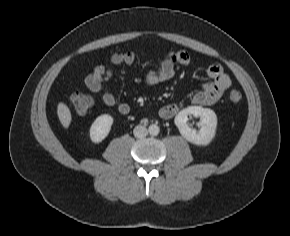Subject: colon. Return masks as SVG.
<instances>
[{"instance_id":"5ec220e1","label":"colon","mask_w":290,"mask_h":236,"mask_svg":"<svg viewBox=\"0 0 290 236\" xmlns=\"http://www.w3.org/2000/svg\"><path fill=\"white\" fill-rule=\"evenodd\" d=\"M242 97L243 96L239 91H232L229 95L230 101L234 104L241 102ZM70 101L75 110L80 114L87 112L93 104V99L90 95L80 92L72 94Z\"/></svg>"}]
</instances>
